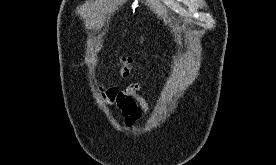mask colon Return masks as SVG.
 <instances>
[{"mask_svg":"<svg viewBox=\"0 0 276 165\" xmlns=\"http://www.w3.org/2000/svg\"><path fill=\"white\" fill-rule=\"evenodd\" d=\"M121 62L122 66L120 69V73L123 76L126 77L134 72L135 68L133 65V59L131 57H123Z\"/></svg>","mask_w":276,"mask_h":165,"instance_id":"5ec220e1","label":"colon"}]
</instances>
